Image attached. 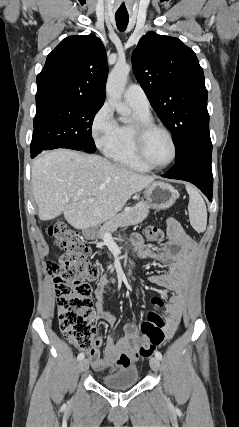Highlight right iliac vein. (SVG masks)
I'll use <instances>...</instances> for the list:
<instances>
[{"label":"right iliac vein","instance_id":"1","mask_svg":"<svg viewBox=\"0 0 239 427\" xmlns=\"http://www.w3.org/2000/svg\"><path fill=\"white\" fill-rule=\"evenodd\" d=\"M88 367H89V361L87 359H83V360L80 361V363H79V370L81 372L86 371L88 369Z\"/></svg>","mask_w":239,"mask_h":427}]
</instances>
